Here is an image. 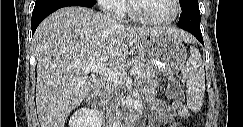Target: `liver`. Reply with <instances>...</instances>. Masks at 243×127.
<instances>
[{
	"instance_id": "1",
	"label": "liver",
	"mask_w": 243,
	"mask_h": 127,
	"mask_svg": "<svg viewBox=\"0 0 243 127\" xmlns=\"http://www.w3.org/2000/svg\"><path fill=\"white\" fill-rule=\"evenodd\" d=\"M157 31L192 40L183 30L131 28L81 6L64 7L48 16L33 38L36 106L41 127H64L68 115L92 91L96 76L85 73L81 64L94 62L118 68L128 58V43Z\"/></svg>"
}]
</instances>
